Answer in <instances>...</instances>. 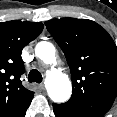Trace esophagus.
<instances>
[{"label": "esophagus", "mask_w": 117, "mask_h": 117, "mask_svg": "<svg viewBox=\"0 0 117 117\" xmlns=\"http://www.w3.org/2000/svg\"><path fill=\"white\" fill-rule=\"evenodd\" d=\"M38 88H39L40 91L45 90V86H44L43 83L39 84V85H38Z\"/></svg>", "instance_id": "34e87169"}]
</instances>
